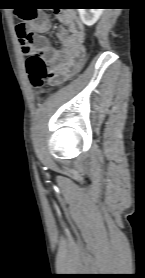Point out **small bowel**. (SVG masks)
<instances>
[{
    "instance_id": "small-bowel-1",
    "label": "small bowel",
    "mask_w": 145,
    "mask_h": 278,
    "mask_svg": "<svg viewBox=\"0 0 145 278\" xmlns=\"http://www.w3.org/2000/svg\"><path fill=\"white\" fill-rule=\"evenodd\" d=\"M61 26L56 31V38L61 49L51 46L50 40L44 35L51 29V21L47 15L42 14L31 21L22 23L34 35L35 47L32 52L41 54L51 66V79L61 77L66 68L78 71L82 68L86 52L83 47L84 26L75 12H57ZM17 15L20 17L19 11Z\"/></svg>"
}]
</instances>
